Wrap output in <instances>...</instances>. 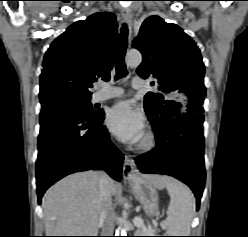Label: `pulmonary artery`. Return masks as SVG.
Returning <instances> with one entry per match:
<instances>
[{"instance_id":"e3ab8cb5","label":"pulmonary artery","mask_w":248,"mask_h":237,"mask_svg":"<svg viewBox=\"0 0 248 237\" xmlns=\"http://www.w3.org/2000/svg\"><path fill=\"white\" fill-rule=\"evenodd\" d=\"M132 87L134 89H141L144 87V81L142 78L134 77L132 80ZM124 93L122 88L113 87L108 91H99L94 95V102H102L111 98L120 97Z\"/></svg>"}]
</instances>
